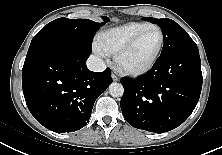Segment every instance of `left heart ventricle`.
<instances>
[{"instance_id":"obj_1","label":"left heart ventricle","mask_w":222,"mask_h":155,"mask_svg":"<svg viewBox=\"0 0 222 155\" xmlns=\"http://www.w3.org/2000/svg\"><path fill=\"white\" fill-rule=\"evenodd\" d=\"M160 34L157 30L148 31L138 43L123 57V66L131 69L147 65L158 50Z\"/></svg>"}]
</instances>
